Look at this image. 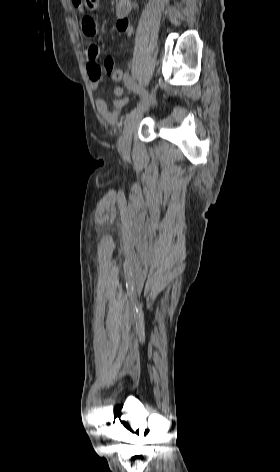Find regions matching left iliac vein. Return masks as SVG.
<instances>
[{
  "mask_svg": "<svg viewBox=\"0 0 280 472\" xmlns=\"http://www.w3.org/2000/svg\"><path fill=\"white\" fill-rule=\"evenodd\" d=\"M144 109L130 115L125 123L122 136L119 139L118 147L122 152H128L131 147L132 136L142 119Z\"/></svg>",
  "mask_w": 280,
  "mask_h": 472,
  "instance_id": "4c4485c4",
  "label": "left iliac vein"
}]
</instances>
